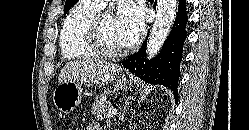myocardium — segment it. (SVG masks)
<instances>
[{"instance_id":"f54148a6","label":"myocardium","mask_w":249,"mask_h":130,"mask_svg":"<svg viewBox=\"0 0 249 130\" xmlns=\"http://www.w3.org/2000/svg\"><path fill=\"white\" fill-rule=\"evenodd\" d=\"M106 15V12L99 11L93 16L86 29V39L90 48L96 53V55L104 58L115 59L123 56L127 50L125 47L112 49L106 44L102 33V21Z\"/></svg>"}]
</instances>
